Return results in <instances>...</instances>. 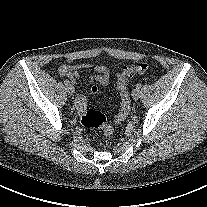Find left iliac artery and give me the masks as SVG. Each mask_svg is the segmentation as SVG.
Returning <instances> with one entry per match:
<instances>
[{"label":"left iliac artery","instance_id":"1","mask_svg":"<svg viewBox=\"0 0 207 207\" xmlns=\"http://www.w3.org/2000/svg\"><path fill=\"white\" fill-rule=\"evenodd\" d=\"M141 86H142V84H141V83H137V84H136V88H138V89H140V88H141Z\"/></svg>","mask_w":207,"mask_h":207}]
</instances>
